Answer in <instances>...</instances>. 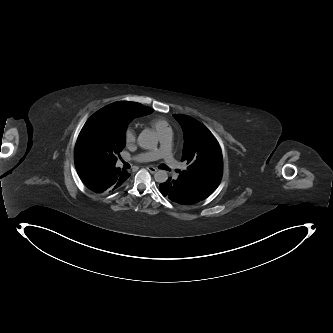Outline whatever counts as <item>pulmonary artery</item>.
<instances>
[{
	"label": "pulmonary artery",
	"mask_w": 333,
	"mask_h": 333,
	"mask_svg": "<svg viewBox=\"0 0 333 333\" xmlns=\"http://www.w3.org/2000/svg\"><path fill=\"white\" fill-rule=\"evenodd\" d=\"M160 136L161 141V150L159 152H145L142 154H139L138 156L134 157L135 161L138 162H148L155 160L158 157H163L166 161V164L170 167L174 166V160L171 156V140H172V132L167 131Z\"/></svg>",
	"instance_id": "pulmonary-artery-1"
}]
</instances>
